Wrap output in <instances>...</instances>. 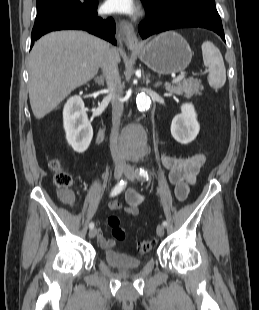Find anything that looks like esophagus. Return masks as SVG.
Wrapping results in <instances>:
<instances>
[{
    "label": "esophagus",
    "instance_id": "1",
    "mask_svg": "<svg viewBox=\"0 0 259 310\" xmlns=\"http://www.w3.org/2000/svg\"><path fill=\"white\" fill-rule=\"evenodd\" d=\"M118 34L120 39L130 49H137L140 46L139 39L135 33L133 25L126 20H119Z\"/></svg>",
    "mask_w": 259,
    "mask_h": 310
}]
</instances>
